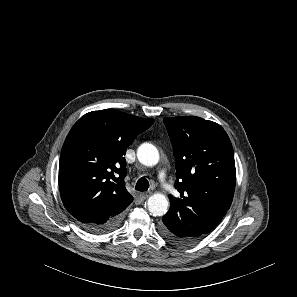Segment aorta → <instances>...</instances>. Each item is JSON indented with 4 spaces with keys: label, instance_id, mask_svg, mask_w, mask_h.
Returning a JSON list of instances; mask_svg holds the SVG:
<instances>
[{
    "label": "aorta",
    "instance_id": "obj_1",
    "mask_svg": "<svg viewBox=\"0 0 297 297\" xmlns=\"http://www.w3.org/2000/svg\"><path fill=\"white\" fill-rule=\"evenodd\" d=\"M138 160L146 166H155L159 161L157 148L149 143H144L137 150ZM148 210L153 216H163L166 214L169 202L165 195L156 193L148 199Z\"/></svg>",
    "mask_w": 297,
    "mask_h": 297
}]
</instances>
